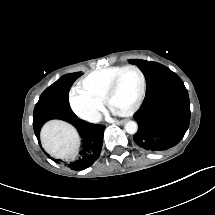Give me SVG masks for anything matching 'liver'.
<instances>
[{
  "mask_svg": "<svg viewBox=\"0 0 215 215\" xmlns=\"http://www.w3.org/2000/svg\"><path fill=\"white\" fill-rule=\"evenodd\" d=\"M41 143L45 151L56 159H76L80 137L74 127L64 121L52 120L41 130Z\"/></svg>",
  "mask_w": 215,
  "mask_h": 215,
  "instance_id": "1",
  "label": "liver"
}]
</instances>
